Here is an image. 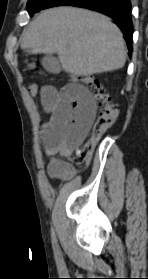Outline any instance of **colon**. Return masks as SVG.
<instances>
[{"label":"colon","mask_w":148,"mask_h":279,"mask_svg":"<svg viewBox=\"0 0 148 279\" xmlns=\"http://www.w3.org/2000/svg\"><path fill=\"white\" fill-rule=\"evenodd\" d=\"M76 81L81 82L89 88H93L99 108L97 119L93 125L91 138L74 158V163L77 166L85 167L91 160L97 140L116 122L118 110L98 78L89 75L79 77ZM28 91L31 95L37 96L40 94V86L36 83H32L28 86Z\"/></svg>","instance_id":"obj_1"}]
</instances>
